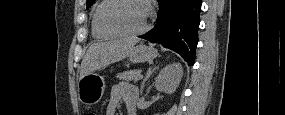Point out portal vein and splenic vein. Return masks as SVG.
<instances>
[{
  "instance_id": "1",
  "label": "portal vein and splenic vein",
  "mask_w": 285,
  "mask_h": 115,
  "mask_svg": "<svg viewBox=\"0 0 285 115\" xmlns=\"http://www.w3.org/2000/svg\"><path fill=\"white\" fill-rule=\"evenodd\" d=\"M143 76L140 74L139 78H142Z\"/></svg>"
}]
</instances>
